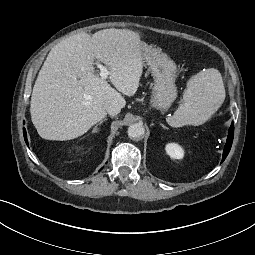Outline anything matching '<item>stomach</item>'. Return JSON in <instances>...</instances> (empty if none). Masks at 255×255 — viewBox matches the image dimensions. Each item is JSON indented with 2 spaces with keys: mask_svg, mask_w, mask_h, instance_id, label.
Returning a JSON list of instances; mask_svg holds the SVG:
<instances>
[{
  "mask_svg": "<svg viewBox=\"0 0 255 255\" xmlns=\"http://www.w3.org/2000/svg\"><path fill=\"white\" fill-rule=\"evenodd\" d=\"M144 62L148 65L154 79L150 106L167 111L177 97L175 80L178 69L176 63L158 48L148 46L141 41Z\"/></svg>",
  "mask_w": 255,
  "mask_h": 255,
  "instance_id": "stomach-1",
  "label": "stomach"
}]
</instances>
